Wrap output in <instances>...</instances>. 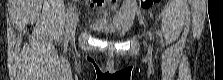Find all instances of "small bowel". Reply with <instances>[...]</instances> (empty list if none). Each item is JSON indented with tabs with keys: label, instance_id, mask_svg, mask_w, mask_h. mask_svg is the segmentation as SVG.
I'll use <instances>...</instances> for the list:
<instances>
[{
	"label": "small bowel",
	"instance_id": "c3829d8e",
	"mask_svg": "<svg viewBox=\"0 0 223 80\" xmlns=\"http://www.w3.org/2000/svg\"><path fill=\"white\" fill-rule=\"evenodd\" d=\"M107 2H103V1H96L92 7H96V8H99V9H102L106 6Z\"/></svg>",
	"mask_w": 223,
	"mask_h": 80
}]
</instances>
